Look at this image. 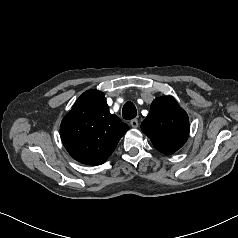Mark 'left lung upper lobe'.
Returning a JSON list of instances; mask_svg holds the SVG:
<instances>
[{
  "mask_svg": "<svg viewBox=\"0 0 238 238\" xmlns=\"http://www.w3.org/2000/svg\"><path fill=\"white\" fill-rule=\"evenodd\" d=\"M142 131L163 154L179 150L189 136V119L172 96L156 98L141 124Z\"/></svg>",
  "mask_w": 238,
  "mask_h": 238,
  "instance_id": "left-lung-upper-lobe-1",
  "label": "left lung upper lobe"
}]
</instances>
